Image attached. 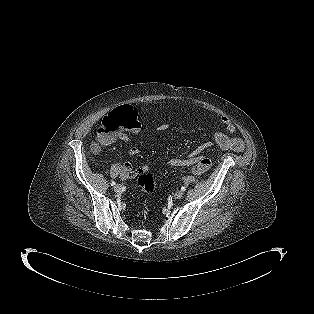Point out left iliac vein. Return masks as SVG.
Listing matches in <instances>:
<instances>
[{
    "label": "left iliac vein",
    "mask_w": 314,
    "mask_h": 314,
    "mask_svg": "<svg viewBox=\"0 0 314 314\" xmlns=\"http://www.w3.org/2000/svg\"><path fill=\"white\" fill-rule=\"evenodd\" d=\"M183 196V191H177L174 194L175 199H180Z\"/></svg>",
    "instance_id": "obj_1"
}]
</instances>
